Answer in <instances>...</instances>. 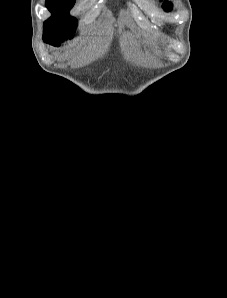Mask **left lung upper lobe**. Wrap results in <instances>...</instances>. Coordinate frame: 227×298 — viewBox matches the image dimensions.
<instances>
[{"label": "left lung upper lobe", "mask_w": 227, "mask_h": 298, "mask_svg": "<svg viewBox=\"0 0 227 298\" xmlns=\"http://www.w3.org/2000/svg\"><path fill=\"white\" fill-rule=\"evenodd\" d=\"M163 8H164L165 11H170L171 8H172V4L169 3V2H164Z\"/></svg>", "instance_id": "left-lung-upper-lobe-1"}]
</instances>
